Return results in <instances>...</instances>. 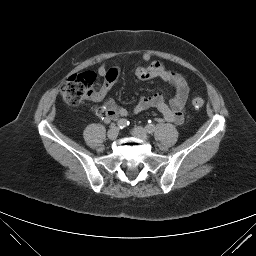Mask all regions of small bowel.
Here are the masks:
<instances>
[{
	"label": "small bowel",
	"mask_w": 256,
	"mask_h": 256,
	"mask_svg": "<svg viewBox=\"0 0 256 256\" xmlns=\"http://www.w3.org/2000/svg\"><path fill=\"white\" fill-rule=\"evenodd\" d=\"M142 59L145 64L135 69V77L142 81L154 78L167 81L173 86L174 95L169 103L165 101L161 93L141 96L133 107L132 112L138 114L150 108H155L164 120L178 125L182 124L189 96V87L185 78L179 72L167 68L163 62L152 60L151 55L147 52L143 53ZM120 72L121 70L118 67L107 68L104 65L98 69V74L103 79V84L97 92L90 96V99L94 102H103L105 121L126 117L129 114L126 108L118 106L112 98L108 97V93L118 79Z\"/></svg>",
	"instance_id": "obj_1"
}]
</instances>
